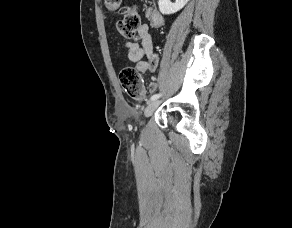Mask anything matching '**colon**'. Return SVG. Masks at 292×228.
Segmentation results:
<instances>
[{"mask_svg":"<svg viewBox=\"0 0 292 228\" xmlns=\"http://www.w3.org/2000/svg\"><path fill=\"white\" fill-rule=\"evenodd\" d=\"M105 6L109 12L123 15V18L117 23V29L123 37H132L143 25L139 11L128 5L125 0H105ZM150 20L154 26L162 24V18L158 13H151ZM119 80L124 91L131 98L143 100L146 97V89L143 85L141 73L136 68H124L119 74Z\"/></svg>","mask_w":292,"mask_h":228,"instance_id":"obj_1","label":"colon"}]
</instances>
